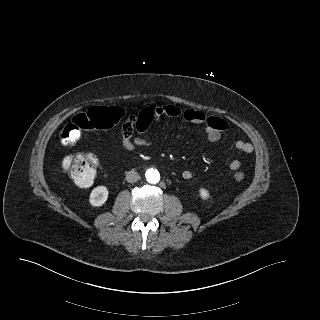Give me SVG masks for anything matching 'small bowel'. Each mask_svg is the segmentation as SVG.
Here are the masks:
<instances>
[{
	"label": "small bowel",
	"instance_id": "1",
	"mask_svg": "<svg viewBox=\"0 0 320 320\" xmlns=\"http://www.w3.org/2000/svg\"><path fill=\"white\" fill-rule=\"evenodd\" d=\"M161 115H167L169 117H183L184 120L194 123L205 125V133L207 138L211 142H217L221 139L222 133L227 129V122L221 118L209 117L202 111L195 109H187L182 111L174 105L165 106H145L140 111L126 121L121 129V143L123 147L128 151H134L139 146L150 145V140L147 137V131L152 122L157 120ZM139 117L148 119L149 124L147 126L137 127L135 120ZM136 128V133L134 129ZM235 148L242 154H250L253 151V146L245 141L238 140L235 143ZM241 162L237 159L232 160L229 164V168L232 171H236L240 168ZM183 178L191 180L193 173L190 170L183 172Z\"/></svg>",
	"mask_w": 320,
	"mask_h": 320
}]
</instances>
